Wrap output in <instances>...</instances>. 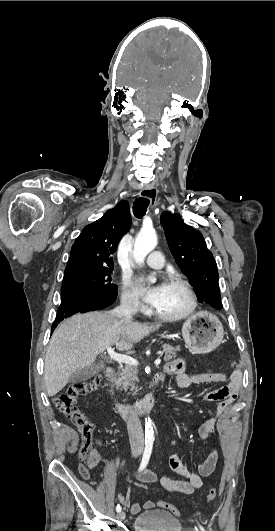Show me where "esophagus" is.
<instances>
[{
	"instance_id": "esophagus-1",
	"label": "esophagus",
	"mask_w": 275,
	"mask_h": 531,
	"mask_svg": "<svg viewBox=\"0 0 275 531\" xmlns=\"http://www.w3.org/2000/svg\"><path fill=\"white\" fill-rule=\"evenodd\" d=\"M157 195H158V190L154 188L153 186H149V185L145 186L140 191V196L150 200L151 208H153L156 205Z\"/></svg>"
}]
</instances>
